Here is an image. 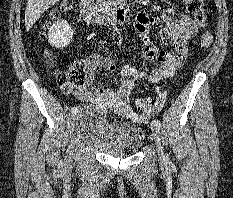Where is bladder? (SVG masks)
Returning a JSON list of instances; mask_svg holds the SVG:
<instances>
[{"label": "bladder", "mask_w": 233, "mask_h": 198, "mask_svg": "<svg viewBox=\"0 0 233 198\" xmlns=\"http://www.w3.org/2000/svg\"><path fill=\"white\" fill-rule=\"evenodd\" d=\"M75 130L80 142L115 157L135 153L144 142L142 128L111 124L106 112L98 107L81 108L75 117Z\"/></svg>", "instance_id": "bladder-1"}]
</instances>
